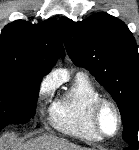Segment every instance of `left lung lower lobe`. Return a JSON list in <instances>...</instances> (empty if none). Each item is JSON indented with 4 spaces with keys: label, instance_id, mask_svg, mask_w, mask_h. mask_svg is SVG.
<instances>
[{
    "label": "left lung lower lobe",
    "instance_id": "1",
    "mask_svg": "<svg viewBox=\"0 0 139 150\" xmlns=\"http://www.w3.org/2000/svg\"><path fill=\"white\" fill-rule=\"evenodd\" d=\"M137 149H138V142L129 144V145L125 148V150H137Z\"/></svg>",
    "mask_w": 139,
    "mask_h": 150
}]
</instances>
